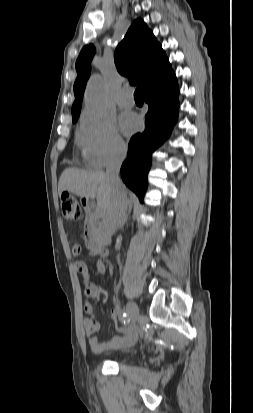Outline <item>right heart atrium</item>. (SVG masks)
Returning <instances> with one entry per match:
<instances>
[{
	"instance_id": "right-heart-atrium-1",
	"label": "right heart atrium",
	"mask_w": 253,
	"mask_h": 413,
	"mask_svg": "<svg viewBox=\"0 0 253 413\" xmlns=\"http://www.w3.org/2000/svg\"><path fill=\"white\" fill-rule=\"evenodd\" d=\"M77 139L87 164L92 168H104L120 159L126 151L115 121L89 112L82 116Z\"/></svg>"
}]
</instances>
